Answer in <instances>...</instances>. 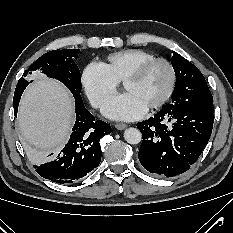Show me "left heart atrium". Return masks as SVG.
I'll return each mask as SVG.
<instances>
[{
    "label": "left heart atrium",
    "mask_w": 233,
    "mask_h": 233,
    "mask_svg": "<svg viewBox=\"0 0 233 233\" xmlns=\"http://www.w3.org/2000/svg\"><path fill=\"white\" fill-rule=\"evenodd\" d=\"M146 111L147 108L131 93L114 97L103 107L104 115L117 120H135L142 117Z\"/></svg>",
    "instance_id": "left-heart-atrium-1"
}]
</instances>
